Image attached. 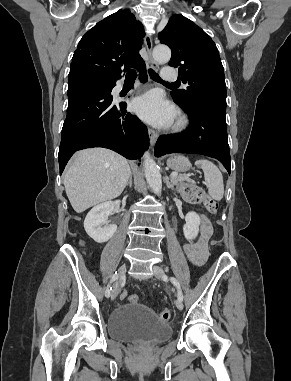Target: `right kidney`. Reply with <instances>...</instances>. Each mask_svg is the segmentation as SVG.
<instances>
[{"instance_id": "right-kidney-1", "label": "right kidney", "mask_w": 291, "mask_h": 381, "mask_svg": "<svg viewBox=\"0 0 291 381\" xmlns=\"http://www.w3.org/2000/svg\"><path fill=\"white\" fill-rule=\"evenodd\" d=\"M120 203L119 200L108 201L96 205L90 210L84 220L86 233L97 243L108 241L116 232V224H108V216Z\"/></svg>"}]
</instances>
